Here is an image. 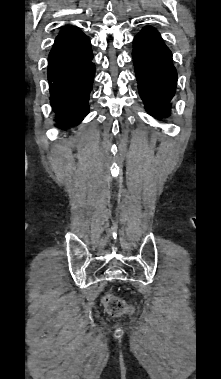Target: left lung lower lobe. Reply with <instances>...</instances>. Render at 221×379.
I'll use <instances>...</instances> for the list:
<instances>
[{
    "instance_id": "0a47b994",
    "label": "left lung lower lobe",
    "mask_w": 221,
    "mask_h": 379,
    "mask_svg": "<svg viewBox=\"0 0 221 379\" xmlns=\"http://www.w3.org/2000/svg\"><path fill=\"white\" fill-rule=\"evenodd\" d=\"M133 43L132 57L145 109L153 117L166 118L170 114L169 102L177 83L171 51L151 26L141 30Z\"/></svg>"
}]
</instances>
